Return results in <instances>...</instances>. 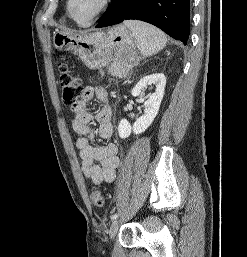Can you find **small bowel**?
<instances>
[{
	"label": "small bowel",
	"instance_id": "obj_1",
	"mask_svg": "<svg viewBox=\"0 0 247 257\" xmlns=\"http://www.w3.org/2000/svg\"><path fill=\"white\" fill-rule=\"evenodd\" d=\"M93 99L101 103L100 109L92 114L87 107ZM72 128L78 135L75 145L81 159V170L84 176L95 185L111 183L115 179L119 164L118 147L114 143L104 146L94 144L95 130L90 126L93 120L98 123L97 134L107 140L113 135L112 107L105 89L85 87L81 98L71 104Z\"/></svg>",
	"mask_w": 247,
	"mask_h": 257
}]
</instances>
